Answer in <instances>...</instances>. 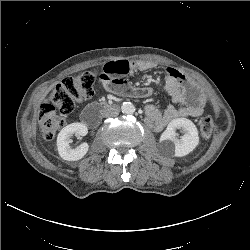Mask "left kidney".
<instances>
[{
    "mask_svg": "<svg viewBox=\"0 0 250 250\" xmlns=\"http://www.w3.org/2000/svg\"><path fill=\"white\" fill-rule=\"evenodd\" d=\"M177 129L183 133L180 139L177 137ZM159 141L164 154L183 157L192 152L199 144L198 130L191 120L176 118L169 122Z\"/></svg>",
    "mask_w": 250,
    "mask_h": 250,
    "instance_id": "1",
    "label": "left kidney"
}]
</instances>
